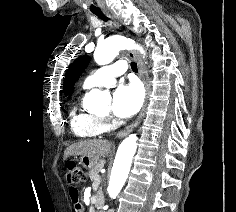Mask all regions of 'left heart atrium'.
<instances>
[{"label":"left heart atrium","mask_w":236,"mask_h":212,"mask_svg":"<svg viewBox=\"0 0 236 212\" xmlns=\"http://www.w3.org/2000/svg\"><path fill=\"white\" fill-rule=\"evenodd\" d=\"M143 98V90L138 83L120 85L113 93L112 111L119 117H131L141 108Z\"/></svg>","instance_id":"obj_1"}]
</instances>
